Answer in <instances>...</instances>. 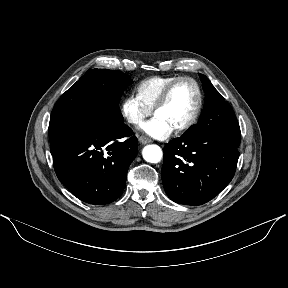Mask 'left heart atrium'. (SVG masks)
Here are the masks:
<instances>
[{"mask_svg":"<svg viewBox=\"0 0 288 288\" xmlns=\"http://www.w3.org/2000/svg\"><path fill=\"white\" fill-rule=\"evenodd\" d=\"M140 128L158 139L166 138L173 130V127L158 114H155L150 120L142 123Z\"/></svg>","mask_w":288,"mask_h":288,"instance_id":"39dd6f15","label":"left heart atrium"}]
</instances>
